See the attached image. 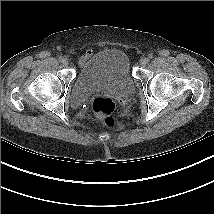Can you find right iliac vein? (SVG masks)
<instances>
[{
    "instance_id": "right-iliac-vein-1",
    "label": "right iliac vein",
    "mask_w": 214,
    "mask_h": 214,
    "mask_svg": "<svg viewBox=\"0 0 214 214\" xmlns=\"http://www.w3.org/2000/svg\"><path fill=\"white\" fill-rule=\"evenodd\" d=\"M63 64L64 65H68L69 64V60L68 59H64Z\"/></svg>"
}]
</instances>
